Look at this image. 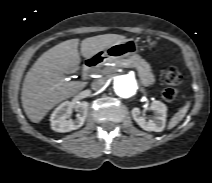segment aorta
Segmentation results:
<instances>
[{"mask_svg":"<svg viewBox=\"0 0 212 183\" xmlns=\"http://www.w3.org/2000/svg\"><path fill=\"white\" fill-rule=\"evenodd\" d=\"M114 90L121 98H130L138 90L137 80L131 75H120L114 80Z\"/></svg>","mask_w":212,"mask_h":183,"instance_id":"obj_1","label":"aorta"}]
</instances>
